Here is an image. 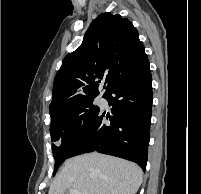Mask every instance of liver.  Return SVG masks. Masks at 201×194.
<instances>
[{"label": "liver", "instance_id": "1", "mask_svg": "<svg viewBox=\"0 0 201 194\" xmlns=\"http://www.w3.org/2000/svg\"><path fill=\"white\" fill-rule=\"evenodd\" d=\"M143 172L135 163L97 152L68 159L48 194H136Z\"/></svg>", "mask_w": 201, "mask_h": 194}]
</instances>
